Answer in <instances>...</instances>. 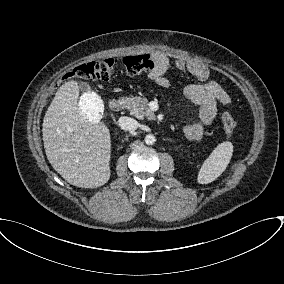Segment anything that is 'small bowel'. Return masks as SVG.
Here are the masks:
<instances>
[{"mask_svg": "<svg viewBox=\"0 0 284 284\" xmlns=\"http://www.w3.org/2000/svg\"><path fill=\"white\" fill-rule=\"evenodd\" d=\"M151 57L154 67L149 73V78L157 86L161 88L168 87L169 80L166 73L171 64L175 69L186 71L197 80L184 88V95L199 106L201 123L188 125L184 129V135L189 140L201 142L204 137L205 127L211 126L217 118V105H230V96L218 82L209 80L210 71L200 62L177 58L171 63L166 54L158 51L153 52Z\"/></svg>", "mask_w": 284, "mask_h": 284, "instance_id": "small-bowel-1", "label": "small bowel"}]
</instances>
